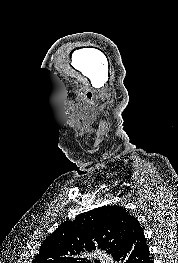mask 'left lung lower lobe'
<instances>
[{
    "label": "left lung lower lobe",
    "instance_id": "1",
    "mask_svg": "<svg viewBox=\"0 0 178 263\" xmlns=\"http://www.w3.org/2000/svg\"><path fill=\"white\" fill-rule=\"evenodd\" d=\"M113 258L119 263H153L143 229L134 216Z\"/></svg>",
    "mask_w": 178,
    "mask_h": 263
}]
</instances>
